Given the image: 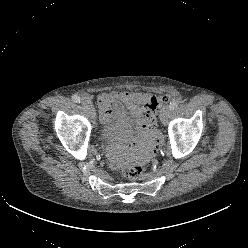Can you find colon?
<instances>
[{
	"instance_id": "5ec220e1",
	"label": "colon",
	"mask_w": 248,
	"mask_h": 248,
	"mask_svg": "<svg viewBox=\"0 0 248 248\" xmlns=\"http://www.w3.org/2000/svg\"><path fill=\"white\" fill-rule=\"evenodd\" d=\"M164 101V98L153 96L150 100V103L145 111L144 123L148 127L155 126L157 122V108L160 103ZM143 173V167L139 164H128L122 167L121 174L126 179L134 180L139 178Z\"/></svg>"
}]
</instances>
